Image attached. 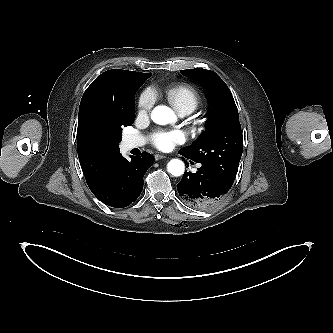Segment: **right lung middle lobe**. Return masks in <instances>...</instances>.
I'll return each mask as SVG.
<instances>
[{
  "mask_svg": "<svg viewBox=\"0 0 333 333\" xmlns=\"http://www.w3.org/2000/svg\"><path fill=\"white\" fill-rule=\"evenodd\" d=\"M152 73H148L146 78L138 85L131 94L130 104L127 108L114 107L111 109V124L106 136V143L113 147H119L121 141L122 127L131 125L135 120V93Z\"/></svg>",
  "mask_w": 333,
  "mask_h": 333,
  "instance_id": "obj_1",
  "label": "right lung middle lobe"
}]
</instances>
